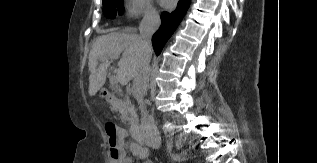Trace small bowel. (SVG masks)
Returning a JSON list of instances; mask_svg holds the SVG:
<instances>
[{
	"instance_id": "c3829d8e",
	"label": "small bowel",
	"mask_w": 317,
	"mask_h": 163,
	"mask_svg": "<svg viewBox=\"0 0 317 163\" xmlns=\"http://www.w3.org/2000/svg\"><path fill=\"white\" fill-rule=\"evenodd\" d=\"M119 133H120V139L123 142V146H122L123 155L121 157V160H119V163L133 162V159L126 155V152H125L126 150H129L134 157H137L143 160V163H153L151 160L148 159V150L146 148L140 147L137 143H134V142L125 143L124 141L125 131L120 130Z\"/></svg>"
}]
</instances>
